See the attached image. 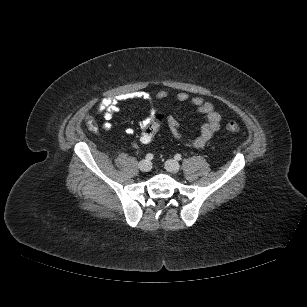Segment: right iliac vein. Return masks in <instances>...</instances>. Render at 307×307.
<instances>
[{"instance_id":"right-iliac-vein-1","label":"right iliac vein","mask_w":307,"mask_h":307,"mask_svg":"<svg viewBox=\"0 0 307 307\" xmlns=\"http://www.w3.org/2000/svg\"><path fill=\"white\" fill-rule=\"evenodd\" d=\"M138 167H139V169H140L142 172H148V171L151 170L152 164H151L150 161L142 160V161H140Z\"/></svg>"}]
</instances>
